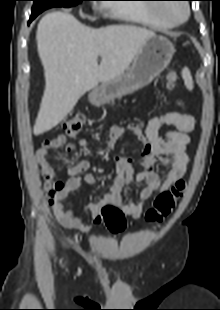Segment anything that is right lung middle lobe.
Instances as JSON below:
<instances>
[{
	"label": "right lung middle lobe",
	"instance_id": "dd1d6c3e",
	"mask_svg": "<svg viewBox=\"0 0 220 310\" xmlns=\"http://www.w3.org/2000/svg\"><path fill=\"white\" fill-rule=\"evenodd\" d=\"M32 15H38L52 7H71L87 0H33Z\"/></svg>",
	"mask_w": 220,
	"mask_h": 310
}]
</instances>
